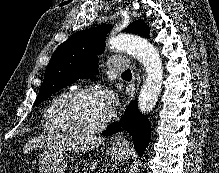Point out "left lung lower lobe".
I'll list each match as a JSON object with an SVG mask.
<instances>
[{
	"mask_svg": "<svg viewBox=\"0 0 219 173\" xmlns=\"http://www.w3.org/2000/svg\"><path fill=\"white\" fill-rule=\"evenodd\" d=\"M121 128L133 137L134 148L138 155L142 156L150 141L151 124L148 118L139 112L136 101L130 103L120 121L112 123L103 135L110 136L120 132Z\"/></svg>",
	"mask_w": 219,
	"mask_h": 173,
	"instance_id": "obj_1",
	"label": "left lung lower lobe"
}]
</instances>
